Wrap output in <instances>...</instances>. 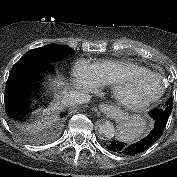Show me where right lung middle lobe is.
I'll use <instances>...</instances> for the list:
<instances>
[{
    "instance_id": "1",
    "label": "right lung middle lobe",
    "mask_w": 177,
    "mask_h": 177,
    "mask_svg": "<svg viewBox=\"0 0 177 177\" xmlns=\"http://www.w3.org/2000/svg\"><path fill=\"white\" fill-rule=\"evenodd\" d=\"M73 52V49L64 45L48 44L44 47L32 49L25 53L24 56L40 57L48 61H57L71 55Z\"/></svg>"
}]
</instances>
